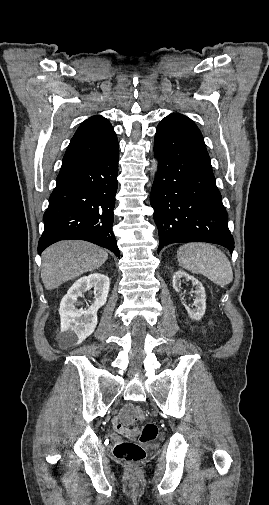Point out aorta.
I'll return each instance as SVG.
<instances>
[{"label": "aorta", "instance_id": "obj_1", "mask_svg": "<svg viewBox=\"0 0 269 505\" xmlns=\"http://www.w3.org/2000/svg\"><path fill=\"white\" fill-rule=\"evenodd\" d=\"M157 165H158V162H157L156 160H154V163H153V168H154V170H156Z\"/></svg>", "mask_w": 269, "mask_h": 505}]
</instances>
